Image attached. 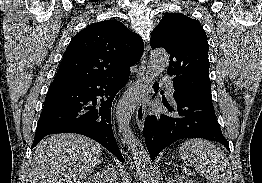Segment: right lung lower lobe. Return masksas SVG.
<instances>
[{"label":"right lung lower lobe","instance_id":"98d812e1","mask_svg":"<svg viewBox=\"0 0 262 183\" xmlns=\"http://www.w3.org/2000/svg\"><path fill=\"white\" fill-rule=\"evenodd\" d=\"M129 75L130 71L118 76L51 83L31 149L49 134L78 133L96 140L123 163L110 114L112 101Z\"/></svg>","mask_w":262,"mask_h":183}]
</instances>
